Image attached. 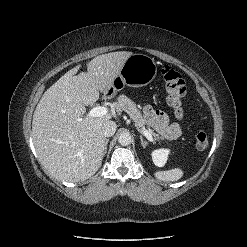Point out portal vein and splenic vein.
<instances>
[{"instance_id":"18ae733b","label":"portal vein and splenic vein","mask_w":247,"mask_h":247,"mask_svg":"<svg viewBox=\"0 0 247 247\" xmlns=\"http://www.w3.org/2000/svg\"><path fill=\"white\" fill-rule=\"evenodd\" d=\"M109 110L107 107H104V106H97V107H94L92 108L88 115L89 117H101V116H104L106 114H108ZM142 134L147 138V140L149 141H153V137L151 135V133L145 129V127L142 128Z\"/></svg>"}]
</instances>
